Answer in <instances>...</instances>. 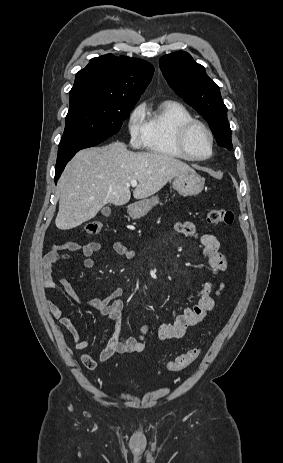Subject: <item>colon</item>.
Returning a JSON list of instances; mask_svg holds the SVG:
<instances>
[{
    "instance_id": "1",
    "label": "colon",
    "mask_w": 283,
    "mask_h": 463,
    "mask_svg": "<svg viewBox=\"0 0 283 463\" xmlns=\"http://www.w3.org/2000/svg\"><path fill=\"white\" fill-rule=\"evenodd\" d=\"M207 220L211 224H222L231 226L234 224V214L227 209H210ZM104 227L101 221H91L84 225L83 231L87 236L98 235ZM201 354V348L195 347L171 360L167 363L166 368L169 371H180L191 365Z\"/></svg>"
}]
</instances>
